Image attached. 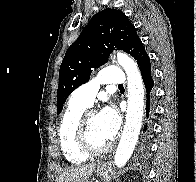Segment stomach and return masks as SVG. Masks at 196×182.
Wrapping results in <instances>:
<instances>
[{
	"label": "stomach",
	"instance_id": "stomach-1",
	"mask_svg": "<svg viewBox=\"0 0 196 182\" xmlns=\"http://www.w3.org/2000/svg\"><path fill=\"white\" fill-rule=\"evenodd\" d=\"M98 177L107 181L109 179V169L105 164H99L95 170Z\"/></svg>",
	"mask_w": 196,
	"mask_h": 182
}]
</instances>
